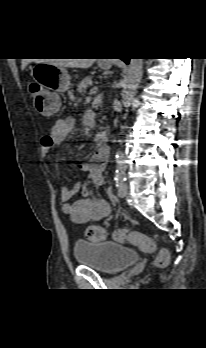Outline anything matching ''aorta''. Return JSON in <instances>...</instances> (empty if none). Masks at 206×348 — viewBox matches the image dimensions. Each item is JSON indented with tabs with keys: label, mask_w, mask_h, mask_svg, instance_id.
Segmentation results:
<instances>
[{
	"label": "aorta",
	"mask_w": 206,
	"mask_h": 348,
	"mask_svg": "<svg viewBox=\"0 0 206 348\" xmlns=\"http://www.w3.org/2000/svg\"><path fill=\"white\" fill-rule=\"evenodd\" d=\"M143 59H131L123 80L122 99L124 104H129L135 97L137 87L142 79ZM121 153L118 152V155Z\"/></svg>",
	"instance_id": "aorta-1"
}]
</instances>
